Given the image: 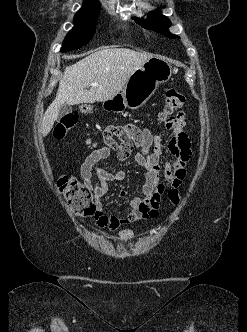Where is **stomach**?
<instances>
[{"instance_id": "1", "label": "stomach", "mask_w": 247, "mask_h": 332, "mask_svg": "<svg viewBox=\"0 0 247 332\" xmlns=\"http://www.w3.org/2000/svg\"><path fill=\"white\" fill-rule=\"evenodd\" d=\"M171 75L172 68L167 61L152 57L133 72L121 93L103 102V107L111 111L138 109L156 92L159 84L167 82Z\"/></svg>"}]
</instances>
